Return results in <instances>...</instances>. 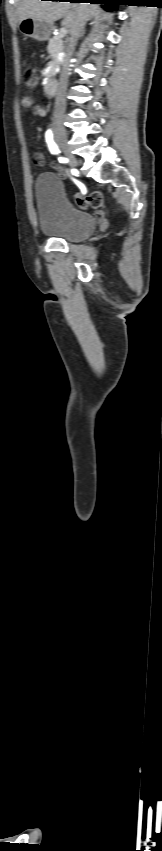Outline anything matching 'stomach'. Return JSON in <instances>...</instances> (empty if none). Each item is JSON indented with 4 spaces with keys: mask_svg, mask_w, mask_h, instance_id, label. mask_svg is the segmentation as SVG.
Here are the masks:
<instances>
[{
    "mask_svg": "<svg viewBox=\"0 0 162 851\" xmlns=\"http://www.w3.org/2000/svg\"><path fill=\"white\" fill-rule=\"evenodd\" d=\"M19 30L26 37L37 41H45L49 39L52 33L53 23L25 18L19 22Z\"/></svg>",
    "mask_w": 162,
    "mask_h": 851,
    "instance_id": "0dacf381",
    "label": "stomach"
}]
</instances>
